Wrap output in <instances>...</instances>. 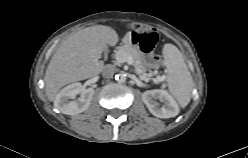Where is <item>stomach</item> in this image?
<instances>
[{"label": "stomach", "mask_w": 248, "mask_h": 158, "mask_svg": "<svg viewBox=\"0 0 248 158\" xmlns=\"http://www.w3.org/2000/svg\"><path fill=\"white\" fill-rule=\"evenodd\" d=\"M127 41L129 43H132V41H133L132 35L131 36H128ZM144 57H145V61H146V67L147 68L153 67L154 66V61L152 59V53H149L147 55H144Z\"/></svg>", "instance_id": "0dacf381"}]
</instances>
